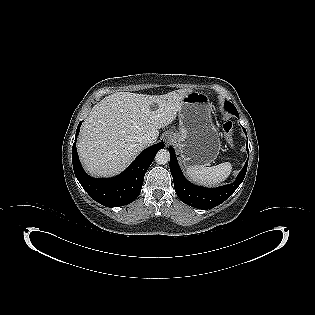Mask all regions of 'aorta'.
Listing matches in <instances>:
<instances>
[{
    "mask_svg": "<svg viewBox=\"0 0 315 315\" xmlns=\"http://www.w3.org/2000/svg\"><path fill=\"white\" fill-rule=\"evenodd\" d=\"M155 160H156V163L159 165H165L166 163H168L170 160V154L168 150L166 149L159 150L156 153Z\"/></svg>",
    "mask_w": 315,
    "mask_h": 315,
    "instance_id": "aorta-1",
    "label": "aorta"
}]
</instances>
